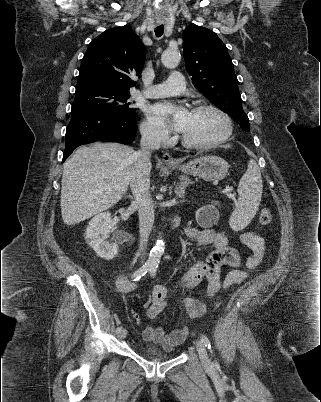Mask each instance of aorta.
<instances>
[{
	"label": "aorta",
	"mask_w": 321,
	"mask_h": 402,
	"mask_svg": "<svg viewBox=\"0 0 321 402\" xmlns=\"http://www.w3.org/2000/svg\"><path fill=\"white\" fill-rule=\"evenodd\" d=\"M180 59V52L173 49L165 50L161 56V61L163 65L169 69L176 68L180 62ZM164 249L165 243L162 239V236L160 235L156 241V244L151 249L149 258L147 260V266L150 270H155L158 267Z\"/></svg>",
	"instance_id": "obj_1"
}]
</instances>
